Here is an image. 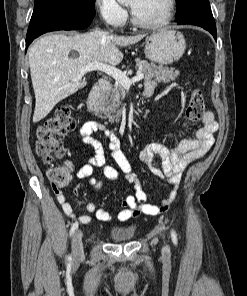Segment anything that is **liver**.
<instances>
[{"instance_id":"6515ba94","label":"liver","mask_w":247,"mask_h":296,"mask_svg":"<svg viewBox=\"0 0 247 296\" xmlns=\"http://www.w3.org/2000/svg\"><path fill=\"white\" fill-rule=\"evenodd\" d=\"M144 35L114 36L94 30L85 34H48L38 39L29 50V66L35 93L33 122L44 119L57 103L86 86L80 69L88 63L118 65L125 47L142 40ZM76 51L78 57H70Z\"/></svg>"}]
</instances>
